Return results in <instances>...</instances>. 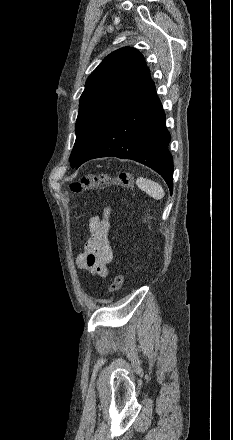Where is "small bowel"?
Wrapping results in <instances>:
<instances>
[{"mask_svg": "<svg viewBox=\"0 0 233 440\" xmlns=\"http://www.w3.org/2000/svg\"><path fill=\"white\" fill-rule=\"evenodd\" d=\"M111 208L104 209L101 216H93L88 222L89 237L84 251L78 255L76 263L79 269L93 275L106 276L108 265L113 260V247L110 240Z\"/></svg>", "mask_w": 233, "mask_h": 440, "instance_id": "small-bowel-1", "label": "small bowel"}]
</instances>
